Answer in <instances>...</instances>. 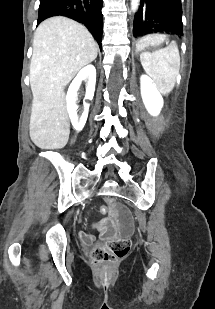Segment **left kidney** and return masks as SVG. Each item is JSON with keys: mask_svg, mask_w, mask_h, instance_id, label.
Returning a JSON list of instances; mask_svg holds the SVG:
<instances>
[{"mask_svg": "<svg viewBox=\"0 0 215 309\" xmlns=\"http://www.w3.org/2000/svg\"><path fill=\"white\" fill-rule=\"evenodd\" d=\"M141 96L148 112L157 116L163 108L164 100L147 74L141 76Z\"/></svg>", "mask_w": 215, "mask_h": 309, "instance_id": "1", "label": "left kidney"}]
</instances>
